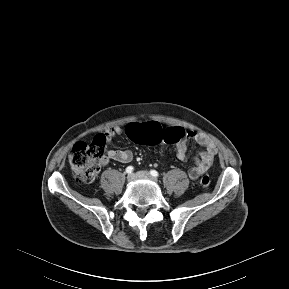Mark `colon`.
<instances>
[{
	"label": "colon",
	"mask_w": 289,
	"mask_h": 289,
	"mask_svg": "<svg viewBox=\"0 0 289 289\" xmlns=\"http://www.w3.org/2000/svg\"><path fill=\"white\" fill-rule=\"evenodd\" d=\"M125 135L138 143L154 145L160 142H180L186 137V132L181 128L163 130L162 126L155 122L130 123L125 128ZM104 157L105 139L102 135L95 137L90 144L83 141L77 142L69 155V162L77 182L87 183L93 180ZM210 182L209 175H203L199 181L204 188L208 187Z\"/></svg>",
	"instance_id": "obj_1"
}]
</instances>
